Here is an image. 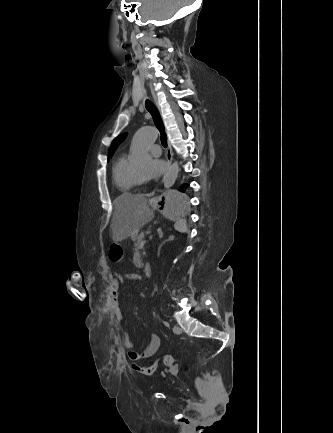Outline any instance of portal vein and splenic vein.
Segmentation results:
<instances>
[{"mask_svg":"<svg viewBox=\"0 0 333 433\" xmlns=\"http://www.w3.org/2000/svg\"><path fill=\"white\" fill-rule=\"evenodd\" d=\"M157 231H158V233H159L160 237H162V233H161V230H160V229H158ZM145 242H146V241H143V242H141V245H144V244H145Z\"/></svg>","mask_w":333,"mask_h":433,"instance_id":"1","label":"portal vein and splenic vein"}]
</instances>
